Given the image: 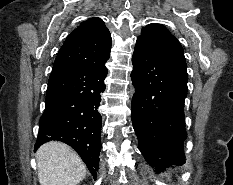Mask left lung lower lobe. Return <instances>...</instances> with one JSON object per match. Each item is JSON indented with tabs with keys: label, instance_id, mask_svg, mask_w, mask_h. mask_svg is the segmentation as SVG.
I'll return each mask as SVG.
<instances>
[{
	"label": "left lung lower lobe",
	"instance_id": "obj_1",
	"mask_svg": "<svg viewBox=\"0 0 233 185\" xmlns=\"http://www.w3.org/2000/svg\"><path fill=\"white\" fill-rule=\"evenodd\" d=\"M132 64V123L141 152L157 172L185 163L186 61L137 39Z\"/></svg>",
	"mask_w": 233,
	"mask_h": 185
}]
</instances>
